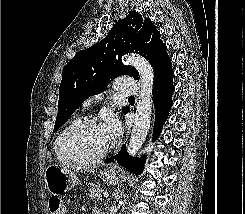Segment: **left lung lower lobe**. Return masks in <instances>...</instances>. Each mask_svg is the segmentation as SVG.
<instances>
[{"label":"left lung lower lobe","mask_w":245,"mask_h":214,"mask_svg":"<svg viewBox=\"0 0 245 214\" xmlns=\"http://www.w3.org/2000/svg\"><path fill=\"white\" fill-rule=\"evenodd\" d=\"M174 72L172 66H168L160 76L154 80L153 99L156 109V119L154 124L153 139L155 140L162 130L164 121L167 119L172 106V94L174 92L173 79ZM129 109L126 110L127 113ZM116 161L121 166L139 175L143 170L144 159H132L126 152L125 145L121 151L105 160V163Z\"/></svg>","instance_id":"0a47b994"}]
</instances>
